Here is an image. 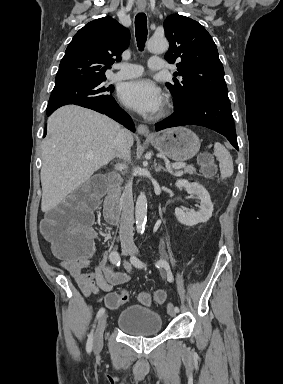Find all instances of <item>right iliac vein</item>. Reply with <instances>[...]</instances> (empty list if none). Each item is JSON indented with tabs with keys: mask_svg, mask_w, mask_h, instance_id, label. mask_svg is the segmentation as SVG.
<instances>
[{
	"mask_svg": "<svg viewBox=\"0 0 283 384\" xmlns=\"http://www.w3.org/2000/svg\"><path fill=\"white\" fill-rule=\"evenodd\" d=\"M130 252H131L130 247L124 246L122 248V254L124 256L129 255ZM107 317H108L107 314H103L100 317L99 321H98V325H97V329H96V332H95V335H94V341H93V350H94L95 353H99L102 350V347H103V332H104V329L106 327Z\"/></svg>",
	"mask_w": 283,
	"mask_h": 384,
	"instance_id": "right-iliac-vein-1",
	"label": "right iliac vein"
}]
</instances>
